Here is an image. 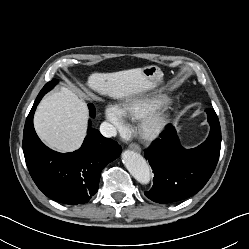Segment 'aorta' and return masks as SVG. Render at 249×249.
<instances>
[{
    "label": "aorta",
    "instance_id": "1",
    "mask_svg": "<svg viewBox=\"0 0 249 249\" xmlns=\"http://www.w3.org/2000/svg\"><path fill=\"white\" fill-rule=\"evenodd\" d=\"M122 162L139 183L147 185L150 182V168L146 160L139 153L132 150L124 151L122 154Z\"/></svg>",
    "mask_w": 249,
    "mask_h": 249
}]
</instances>
